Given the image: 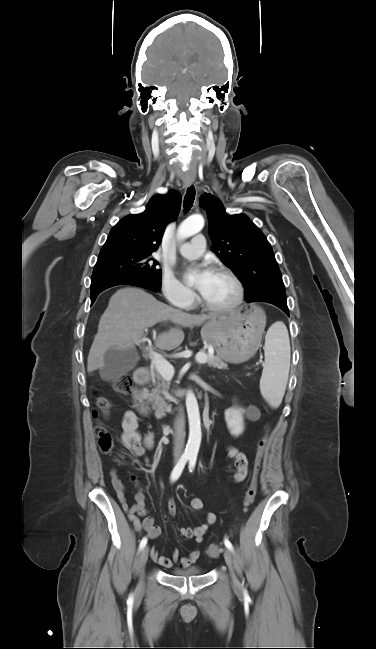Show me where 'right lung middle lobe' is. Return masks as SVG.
<instances>
[{"mask_svg": "<svg viewBox=\"0 0 376 649\" xmlns=\"http://www.w3.org/2000/svg\"><path fill=\"white\" fill-rule=\"evenodd\" d=\"M152 252L122 251L99 254L91 281L110 276L148 280L161 287V269Z\"/></svg>", "mask_w": 376, "mask_h": 649, "instance_id": "right-lung-middle-lobe-1", "label": "right lung middle lobe"}]
</instances>
